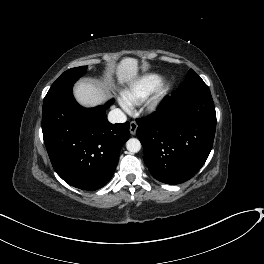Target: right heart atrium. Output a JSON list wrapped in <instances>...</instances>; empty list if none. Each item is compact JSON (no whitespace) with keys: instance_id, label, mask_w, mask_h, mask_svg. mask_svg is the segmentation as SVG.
<instances>
[{"instance_id":"1","label":"right heart atrium","mask_w":264,"mask_h":264,"mask_svg":"<svg viewBox=\"0 0 264 264\" xmlns=\"http://www.w3.org/2000/svg\"><path fill=\"white\" fill-rule=\"evenodd\" d=\"M122 105L127 109L129 105H127L125 102H122Z\"/></svg>"}]
</instances>
